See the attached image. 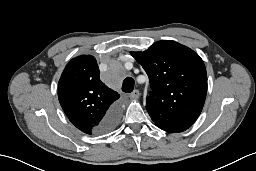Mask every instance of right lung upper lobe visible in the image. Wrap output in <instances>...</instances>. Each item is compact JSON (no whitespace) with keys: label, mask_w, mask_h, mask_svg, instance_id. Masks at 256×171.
I'll return each mask as SVG.
<instances>
[{"label":"right lung upper lobe","mask_w":256,"mask_h":171,"mask_svg":"<svg viewBox=\"0 0 256 171\" xmlns=\"http://www.w3.org/2000/svg\"><path fill=\"white\" fill-rule=\"evenodd\" d=\"M96 59L91 55L73 58L58 83V99L71 123L86 134L105 131L102 122L120 95L99 77Z\"/></svg>","instance_id":"1"}]
</instances>
